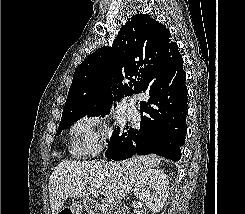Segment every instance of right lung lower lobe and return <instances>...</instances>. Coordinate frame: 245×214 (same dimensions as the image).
Instances as JSON below:
<instances>
[{"label":"right lung lower lobe","instance_id":"obj_1","mask_svg":"<svg viewBox=\"0 0 245 214\" xmlns=\"http://www.w3.org/2000/svg\"><path fill=\"white\" fill-rule=\"evenodd\" d=\"M183 79H172L164 69L155 71L147 82L150 98L141 107L140 126L129 127L122 140L110 146L108 159L123 160L133 155L154 153L167 159L181 158L180 146L187 133L186 115L188 91Z\"/></svg>","mask_w":245,"mask_h":214}]
</instances>
